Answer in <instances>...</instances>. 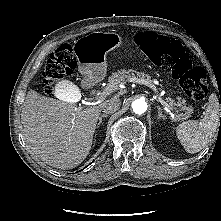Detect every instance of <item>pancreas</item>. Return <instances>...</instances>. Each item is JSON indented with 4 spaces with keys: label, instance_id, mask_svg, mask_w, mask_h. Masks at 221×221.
Wrapping results in <instances>:
<instances>
[{
    "label": "pancreas",
    "instance_id": "pancreas-1",
    "mask_svg": "<svg viewBox=\"0 0 221 221\" xmlns=\"http://www.w3.org/2000/svg\"><path fill=\"white\" fill-rule=\"evenodd\" d=\"M133 78H137L140 79L146 83L152 84V80L151 77L147 74L135 71V70H121L118 72H115L112 74L111 77H109L108 82L109 85L114 86L115 88L118 87V85L120 84H124L126 82H130L131 79ZM167 102L169 105L173 106V107H180V111H184V113H180L177 117L180 120H184L190 117L191 113L193 112L192 107H187L185 106V100H179L177 103L174 102V100H172L171 98L167 99Z\"/></svg>",
    "mask_w": 221,
    "mask_h": 221
}]
</instances>
